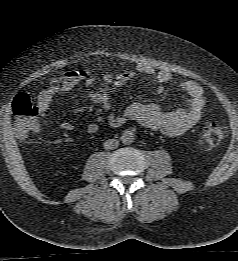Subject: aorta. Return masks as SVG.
Masks as SVG:
<instances>
[{"instance_id":"obj_1","label":"aorta","mask_w":238,"mask_h":261,"mask_svg":"<svg viewBox=\"0 0 238 261\" xmlns=\"http://www.w3.org/2000/svg\"><path fill=\"white\" fill-rule=\"evenodd\" d=\"M135 140V134L130 131V130H125L123 133H122V136H121V141L124 143V144H131L133 143Z\"/></svg>"}]
</instances>
